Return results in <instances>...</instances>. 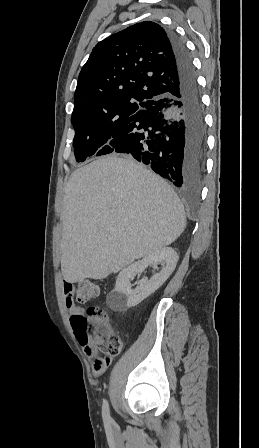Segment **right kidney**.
I'll list each match as a JSON object with an SVG mask.
<instances>
[{
  "mask_svg": "<svg viewBox=\"0 0 259 448\" xmlns=\"http://www.w3.org/2000/svg\"><path fill=\"white\" fill-rule=\"evenodd\" d=\"M178 260L179 256L173 248H162V250H157L155 254H150L143 260L134 262L128 268H124L118 274L114 290L107 296V306L114 312H124L127 308L137 306L144 298L153 294L166 282L167 278L174 272ZM153 264H161L162 268L159 274H155L150 280L143 278L138 282L137 288L131 290L130 280L135 278L136 274L144 272L148 266H153Z\"/></svg>",
  "mask_w": 259,
  "mask_h": 448,
  "instance_id": "obj_1",
  "label": "right kidney"
}]
</instances>
